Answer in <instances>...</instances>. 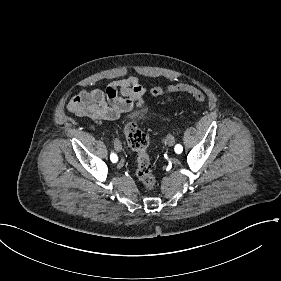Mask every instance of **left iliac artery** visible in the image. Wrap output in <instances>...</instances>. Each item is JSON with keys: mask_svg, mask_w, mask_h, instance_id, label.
I'll use <instances>...</instances> for the list:
<instances>
[{"mask_svg": "<svg viewBox=\"0 0 281 281\" xmlns=\"http://www.w3.org/2000/svg\"><path fill=\"white\" fill-rule=\"evenodd\" d=\"M182 150H183V147H182L180 144H177V145L175 146V152H176V153H181Z\"/></svg>", "mask_w": 281, "mask_h": 281, "instance_id": "left-iliac-artery-1", "label": "left iliac artery"}]
</instances>
